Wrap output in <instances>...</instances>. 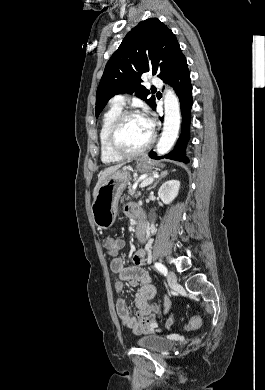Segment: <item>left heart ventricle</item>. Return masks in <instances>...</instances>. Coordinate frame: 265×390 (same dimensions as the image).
<instances>
[{"instance_id":"1","label":"left heart ventricle","mask_w":265,"mask_h":390,"mask_svg":"<svg viewBox=\"0 0 265 390\" xmlns=\"http://www.w3.org/2000/svg\"><path fill=\"white\" fill-rule=\"evenodd\" d=\"M149 137L150 132L146 130L139 116L126 119L119 132V142L128 150L141 148Z\"/></svg>"}]
</instances>
